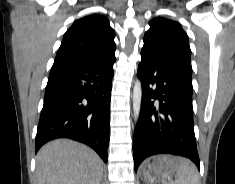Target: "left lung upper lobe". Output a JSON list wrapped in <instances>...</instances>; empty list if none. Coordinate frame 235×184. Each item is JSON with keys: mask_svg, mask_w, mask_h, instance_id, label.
Returning <instances> with one entry per match:
<instances>
[{"mask_svg": "<svg viewBox=\"0 0 235 184\" xmlns=\"http://www.w3.org/2000/svg\"><path fill=\"white\" fill-rule=\"evenodd\" d=\"M144 46L154 48L159 54L179 66L192 80L191 50L188 36L178 22L157 17L149 22Z\"/></svg>", "mask_w": 235, "mask_h": 184, "instance_id": "5c2ea615", "label": "left lung upper lobe"}]
</instances>
